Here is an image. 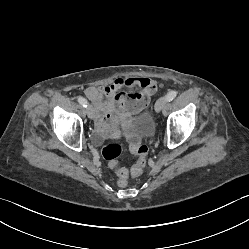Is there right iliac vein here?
<instances>
[{
    "instance_id": "1",
    "label": "right iliac vein",
    "mask_w": 249,
    "mask_h": 249,
    "mask_svg": "<svg viewBox=\"0 0 249 249\" xmlns=\"http://www.w3.org/2000/svg\"><path fill=\"white\" fill-rule=\"evenodd\" d=\"M86 113H87V116L90 119H94V117H95V110H94V108L91 105L87 106Z\"/></svg>"
}]
</instances>
